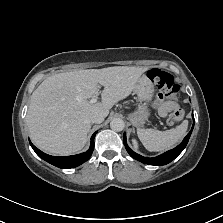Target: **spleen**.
I'll return each mask as SVG.
<instances>
[{
  "instance_id": "spleen-1",
  "label": "spleen",
  "mask_w": 223,
  "mask_h": 223,
  "mask_svg": "<svg viewBox=\"0 0 223 223\" xmlns=\"http://www.w3.org/2000/svg\"><path fill=\"white\" fill-rule=\"evenodd\" d=\"M188 128V121L184 120L179 126L166 131L155 129L137 128V134L149 151H165L178 143L185 135Z\"/></svg>"
}]
</instances>
